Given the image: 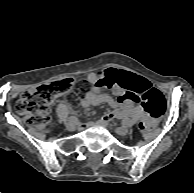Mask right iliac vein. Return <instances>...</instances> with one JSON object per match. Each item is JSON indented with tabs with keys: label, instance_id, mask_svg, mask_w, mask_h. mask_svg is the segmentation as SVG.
<instances>
[{
	"label": "right iliac vein",
	"instance_id": "obj_1",
	"mask_svg": "<svg viewBox=\"0 0 194 193\" xmlns=\"http://www.w3.org/2000/svg\"><path fill=\"white\" fill-rule=\"evenodd\" d=\"M77 122H71L69 121L66 123V128L70 131H74L76 129Z\"/></svg>",
	"mask_w": 194,
	"mask_h": 193
}]
</instances>
